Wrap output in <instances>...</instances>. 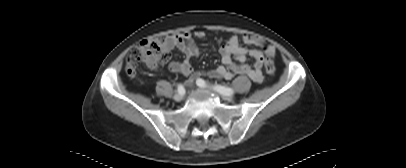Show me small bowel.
Wrapping results in <instances>:
<instances>
[{
	"instance_id": "small-bowel-1",
	"label": "small bowel",
	"mask_w": 406,
	"mask_h": 168,
	"mask_svg": "<svg viewBox=\"0 0 406 168\" xmlns=\"http://www.w3.org/2000/svg\"><path fill=\"white\" fill-rule=\"evenodd\" d=\"M195 37L198 39H203L205 33L203 31H197ZM242 41L249 46H262L264 40L255 35H244ZM165 44L168 50H173L175 48L179 49L185 56L186 59L181 62H171L169 69L172 72L180 73L189 76L188 84H192L193 81L201 75L200 72H195L190 59L199 55L200 50L195 44L193 37L189 33H180L169 35L165 38ZM219 53L221 55L222 64L215 69L208 71V75L212 78L217 79H232L236 74H242L249 77L252 81L256 83H262L264 80L262 68L264 65V56L259 49L256 48H246L239 44V39L237 36H231L227 42L220 47ZM267 55L273 57L275 55V50L273 47L269 46ZM248 57L253 59L252 64L247 63ZM235 58L236 62L233 61ZM153 68L155 66H152Z\"/></svg>"
}]
</instances>
